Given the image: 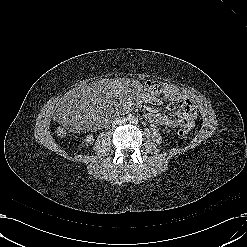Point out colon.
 Segmentation results:
<instances>
[{
    "instance_id": "colon-1",
    "label": "colon",
    "mask_w": 247,
    "mask_h": 247,
    "mask_svg": "<svg viewBox=\"0 0 247 247\" xmlns=\"http://www.w3.org/2000/svg\"><path fill=\"white\" fill-rule=\"evenodd\" d=\"M147 91L149 93V95H151L154 99H159L163 96V91L162 88L160 86V84L153 82L151 84H149ZM191 129L187 126L181 127L178 131V134L180 136H185L189 133ZM56 133L59 137L64 138L67 136L68 134V130L65 127L64 124H58L56 126Z\"/></svg>"
}]
</instances>
